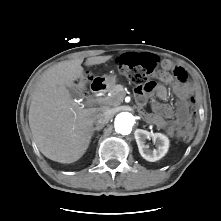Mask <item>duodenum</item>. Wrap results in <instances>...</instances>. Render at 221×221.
I'll use <instances>...</instances> for the list:
<instances>
[{
	"label": "duodenum",
	"mask_w": 221,
	"mask_h": 221,
	"mask_svg": "<svg viewBox=\"0 0 221 221\" xmlns=\"http://www.w3.org/2000/svg\"><path fill=\"white\" fill-rule=\"evenodd\" d=\"M108 88L109 84L101 79H97L91 84V89L95 93H104L108 90Z\"/></svg>",
	"instance_id": "obj_1"
}]
</instances>
